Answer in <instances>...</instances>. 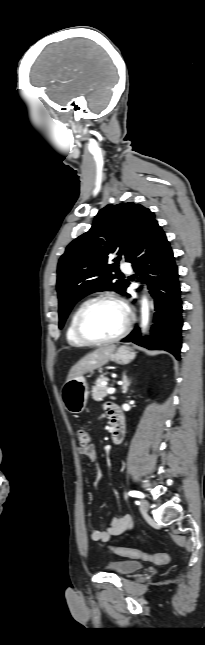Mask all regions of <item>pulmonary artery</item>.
<instances>
[{"label": "pulmonary artery", "instance_id": "pulmonary-artery-1", "mask_svg": "<svg viewBox=\"0 0 205 645\" xmlns=\"http://www.w3.org/2000/svg\"><path fill=\"white\" fill-rule=\"evenodd\" d=\"M120 269H121L123 272H126V273H130V272H131V267H130V265H129L128 263H122V264L120 265Z\"/></svg>", "mask_w": 205, "mask_h": 645}]
</instances>
